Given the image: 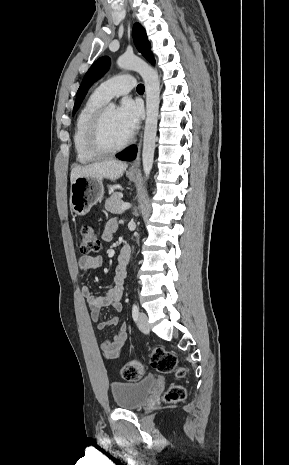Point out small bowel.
Masks as SVG:
<instances>
[{"instance_id":"small-bowel-1","label":"small bowel","mask_w":289,"mask_h":465,"mask_svg":"<svg viewBox=\"0 0 289 465\" xmlns=\"http://www.w3.org/2000/svg\"><path fill=\"white\" fill-rule=\"evenodd\" d=\"M117 229L115 221H108L102 233V238L106 241L110 240ZM103 264V257L83 255L78 260L79 272L83 275L90 271L99 269ZM126 277V265L119 261L113 278L114 285L111 289L103 294H94L89 286L82 288V294L85 297L89 308L90 318L96 323L97 329L105 331L109 327H118L114 336L104 340L100 349L107 359H115L119 356L120 351L127 340V326L125 323H120L118 318H112L108 321H99L100 311L104 307L112 306L116 311H121L122 298L124 293V280Z\"/></svg>"}]
</instances>
